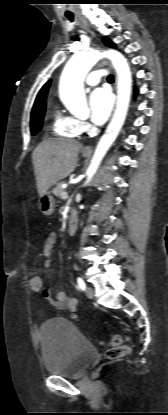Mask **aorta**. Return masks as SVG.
<instances>
[{"instance_id":"1","label":"aorta","mask_w":168,"mask_h":415,"mask_svg":"<svg viewBox=\"0 0 168 415\" xmlns=\"http://www.w3.org/2000/svg\"><path fill=\"white\" fill-rule=\"evenodd\" d=\"M102 57L110 59L117 72V102L113 118L101 137L88 167L85 184L91 181L104 155L115 141L124 124L131 96V71L125 57L116 50L110 49L104 52L97 50L83 51L74 54L67 62L59 85L60 99L69 111L79 112L85 110L87 104L83 82L90 69Z\"/></svg>"}]
</instances>
